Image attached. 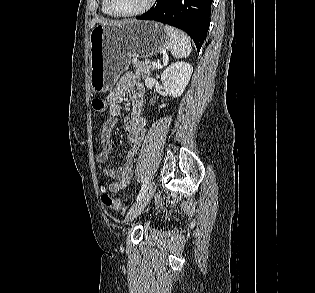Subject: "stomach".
<instances>
[{
    "label": "stomach",
    "mask_w": 315,
    "mask_h": 293,
    "mask_svg": "<svg viewBox=\"0 0 315 293\" xmlns=\"http://www.w3.org/2000/svg\"><path fill=\"white\" fill-rule=\"evenodd\" d=\"M89 47L91 88L102 93L113 88L132 58H149L165 51L169 37L160 23L129 20L94 27Z\"/></svg>",
    "instance_id": "stomach-1"
}]
</instances>
